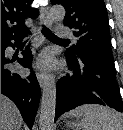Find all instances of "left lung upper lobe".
Listing matches in <instances>:
<instances>
[{
  "label": "left lung upper lobe",
  "mask_w": 123,
  "mask_h": 130,
  "mask_svg": "<svg viewBox=\"0 0 123 130\" xmlns=\"http://www.w3.org/2000/svg\"><path fill=\"white\" fill-rule=\"evenodd\" d=\"M51 3L64 6V23L79 39L66 54L99 58L114 64L108 14L103 0H51Z\"/></svg>",
  "instance_id": "left-lung-upper-lobe-1"
}]
</instances>
